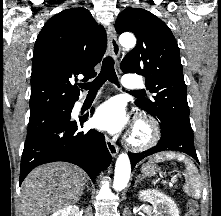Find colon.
Returning a JSON list of instances; mask_svg holds the SVG:
<instances>
[{"label": "colon", "instance_id": "5ec220e1", "mask_svg": "<svg viewBox=\"0 0 221 216\" xmlns=\"http://www.w3.org/2000/svg\"><path fill=\"white\" fill-rule=\"evenodd\" d=\"M186 216H197V205L195 202L190 201L188 203V210Z\"/></svg>", "mask_w": 221, "mask_h": 216}]
</instances>
